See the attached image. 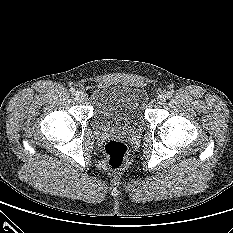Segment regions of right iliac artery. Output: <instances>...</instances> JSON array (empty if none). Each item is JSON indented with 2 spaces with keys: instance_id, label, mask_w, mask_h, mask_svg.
I'll return each mask as SVG.
<instances>
[{
  "instance_id": "1",
  "label": "right iliac artery",
  "mask_w": 233,
  "mask_h": 233,
  "mask_svg": "<svg viewBox=\"0 0 233 233\" xmlns=\"http://www.w3.org/2000/svg\"><path fill=\"white\" fill-rule=\"evenodd\" d=\"M69 91H70L71 94H75V88H70Z\"/></svg>"
}]
</instances>
